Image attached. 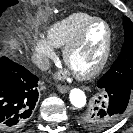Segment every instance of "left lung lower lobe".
<instances>
[{"label": "left lung lower lobe", "mask_w": 133, "mask_h": 133, "mask_svg": "<svg viewBox=\"0 0 133 133\" xmlns=\"http://www.w3.org/2000/svg\"><path fill=\"white\" fill-rule=\"evenodd\" d=\"M104 91V106L97 108L95 119L104 120L107 117H112V124H115L127 111L130 97L133 95V90L121 85H107L103 88ZM101 131V130H99Z\"/></svg>", "instance_id": "1"}]
</instances>
